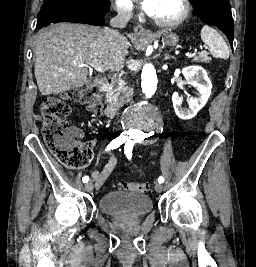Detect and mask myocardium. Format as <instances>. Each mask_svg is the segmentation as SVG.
<instances>
[{"label": "myocardium", "mask_w": 256, "mask_h": 267, "mask_svg": "<svg viewBox=\"0 0 256 267\" xmlns=\"http://www.w3.org/2000/svg\"><path fill=\"white\" fill-rule=\"evenodd\" d=\"M171 3L175 5L176 7H178V9L180 10V14L172 22L162 25V26L169 27V28H172V27H175L181 24L189 15L188 5L183 0H171Z\"/></svg>", "instance_id": "obj_1"}]
</instances>
